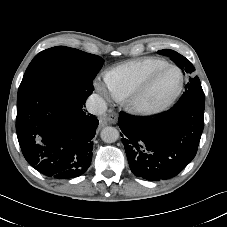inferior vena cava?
<instances>
[{"label":"inferior vena cava","instance_id":"1","mask_svg":"<svg viewBox=\"0 0 227 227\" xmlns=\"http://www.w3.org/2000/svg\"><path fill=\"white\" fill-rule=\"evenodd\" d=\"M86 108L93 115H102L107 110V103L98 94H92L86 101Z\"/></svg>","mask_w":227,"mask_h":227}]
</instances>
